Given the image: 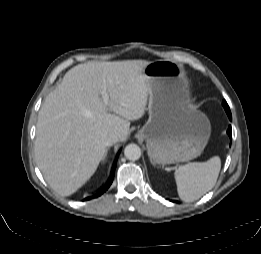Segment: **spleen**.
Listing matches in <instances>:
<instances>
[{
	"label": "spleen",
	"mask_w": 261,
	"mask_h": 254,
	"mask_svg": "<svg viewBox=\"0 0 261 254\" xmlns=\"http://www.w3.org/2000/svg\"><path fill=\"white\" fill-rule=\"evenodd\" d=\"M220 169L221 160L218 156L206 162H193L180 166L174 173L180 199L185 202L198 200L214 187Z\"/></svg>",
	"instance_id": "3e777b00"
}]
</instances>
